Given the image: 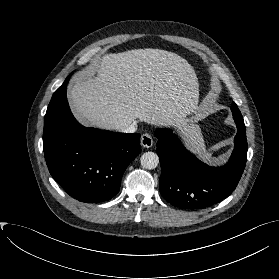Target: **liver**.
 Here are the masks:
<instances>
[{
    "instance_id": "liver-1",
    "label": "liver",
    "mask_w": 279,
    "mask_h": 279,
    "mask_svg": "<svg viewBox=\"0 0 279 279\" xmlns=\"http://www.w3.org/2000/svg\"><path fill=\"white\" fill-rule=\"evenodd\" d=\"M68 100L84 125L119 131L139 119L177 127L189 148L205 150L198 128L188 118L198 109V79L176 53L146 48L105 54L76 76Z\"/></svg>"
}]
</instances>
